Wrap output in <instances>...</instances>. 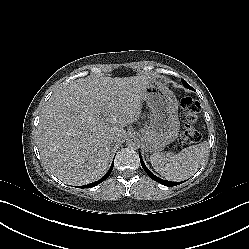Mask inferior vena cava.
<instances>
[{
    "mask_svg": "<svg viewBox=\"0 0 249 249\" xmlns=\"http://www.w3.org/2000/svg\"><path fill=\"white\" fill-rule=\"evenodd\" d=\"M110 140H111V142L113 143V142L119 141V138L116 137V136H112V137H110Z\"/></svg>",
    "mask_w": 249,
    "mask_h": 249,
    "instance_id": "1",
    "label": "inferior vena cava"
}]
</instances>
